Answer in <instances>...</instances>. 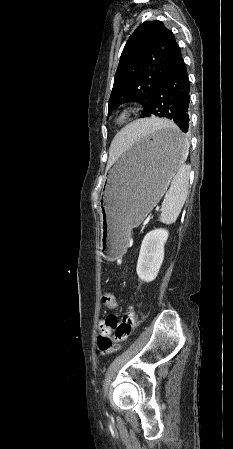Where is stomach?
<instances>
[{
    "instance_id": "0dacf381",
    "label": "stomach",
    "mask_w": 233,
    "mask_h": 449,
    "mask_svg": "<svg viewBox=\"0 0 233 449\" xmlns=\"http://www.w3.org/2000/svg\"><path fill=\"white\" fill-rule=\"evenodd\" d=\"M185 149L177 127L157 128L110 169L101 206L100 249L106 260L123 254L132 228L157 205L184 161Z\"/></svg>"
}]
</instances>
